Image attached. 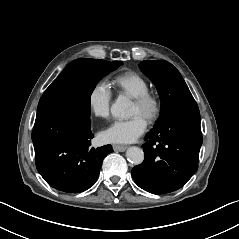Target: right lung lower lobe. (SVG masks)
I'll return each mask as SVG.
<instances>
[{
  "mask_svg": "<svg viewBox=\"0 0 239 239\" xmlns=\"http://www.w3.org/2000/svg\"><path fill=\"white\" fill-rule=\"evenodd\" d=\"M90 110L76 102L58 103L38 110L32 141L38 172L53 188L80 193L97 180L111 145L91 147Z\"/></svg>",
  "mask_w": 239,
  "mask_h": 239,
  "instance_id": "98d812e1",
  "label": "right lung lower lobe"
}]
</instances>
